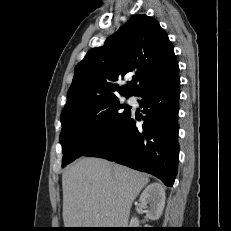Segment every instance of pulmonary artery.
Instances as JSON below:
<instances>
[{
	"instance_id": "e3ab8cb5",
	"label": "pulmonary artery",
	"mask_w": 231,
	"mask_h": 231,
	"mask_svg": "<svg viewBox=\"0 0 231 231\" xmlns=\"http://www.w3.org/2000/svg\"><path fill=\"white\" fill-rule=\"evenodd\" d=\"M128 101H129L130 103H134V102H135V99H134L133 97H130V98L128 99Z\"/></svg>"
}]
</instances>
